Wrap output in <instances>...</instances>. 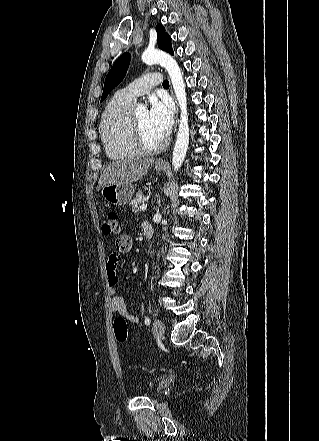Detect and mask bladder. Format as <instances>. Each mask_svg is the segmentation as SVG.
<instances>
[{
  "instance_id": "1",
  "label": "bladder",
  "mask_w": 319,
  "mask_h": 441,
  "mask_svg": "<svg viewBox=\"0 0 319 441\" xmlns=\"http://www.w3.org/2000/svg\"><path fill=\"white\" fill-rule=\"evenodd\" d=\"M149 388H150V390H154V389H155V385H154L153 383H151V384L149 385Z\"/></svg>"
}]
</instances>
